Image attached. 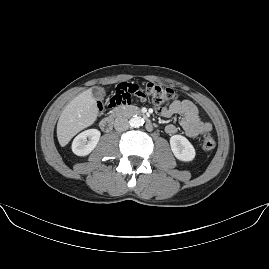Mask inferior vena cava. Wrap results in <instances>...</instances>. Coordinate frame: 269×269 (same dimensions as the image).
I'll use <instances>...</instances> for the list:
<instances>
[{
  "label": "inferior vena cava",
  "mask_w": 269,
  "mask_h": 269,
  "mask_svg": "<svg viewBox=\"0 0 269 269\" xmlns=\"http://www.w3.org/2000/svg\"><path fill=\"white\" fill-rule=\"evenodd\" d=\"M129 121L126 118H116L114 121V128L116 131L122 132L129 129Z\"/></svg>",
  "instance_id": "inferior-vena-cava-1"
}]
</instances>
